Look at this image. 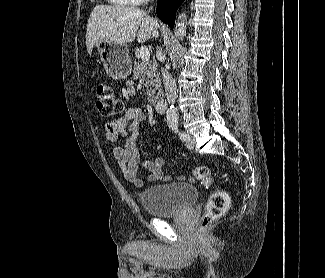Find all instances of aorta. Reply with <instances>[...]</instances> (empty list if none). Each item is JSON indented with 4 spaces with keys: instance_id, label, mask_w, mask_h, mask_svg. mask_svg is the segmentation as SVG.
Instances as JSON below:
<instances>
[{
    "instance_id": "aorta-1",
    "label": "aorta",
    "mask_w": 325,
    "mask_h": 278,
    "mask_svg": "<svg viewBox=\"0 0 325 278\" xmlns=\"http://www.w3.org/2000/svg\"><path fill=\"white\" fill-rule=\"evenodd\" d=\"M186 27H187V18L186 14L182 13L179 15L178 20L175 24V35L179 39H183L186 35ZM167 122H177L178 121V112L177 109L171 106L166 113Z\"/></svg>"
}]
</instances>
